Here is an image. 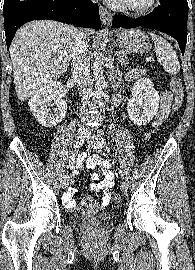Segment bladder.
<instances>
[{
	"instance_id": "obj_1",
	"label": "bladder",
	"mask_w": 195,
	"mask_h": 270,
	"mask_svg": "<svg viewBox=\"0 0 195 270\" xmlns=\"http://www.w3.org/2000/svg\"><path fill=\"white\" fill-rule=\"evenodd\" d=\"M88 215H94L95 217L101 219L104 222H111L115 219V213L110 210H98L95 208H88L87 211L81 214L79 217L84 218Z\"/></svg>"
}]
</instances>
